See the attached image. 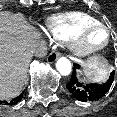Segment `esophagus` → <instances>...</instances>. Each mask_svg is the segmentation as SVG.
Returning a JSON list of instances; mask_svg holds the SVG:
<instances>
[{"label": "esophagus", "instance_id": "esophagus-1", "mask_svg": "<svg viewBox=\"0 0 117 117\" xmlns=\"http://www.w3.org/2000/svg\"><path fill=\"white\" fill-rule=\"evenodd\" d=\"M59 56H60L59 52L53 51L48 55L47 61L50 62V63H53L58 59Z\"/></svg>", "mask_w": 117, "mask_h": 117}]
</instances>
